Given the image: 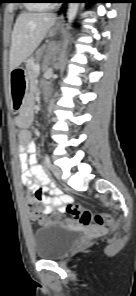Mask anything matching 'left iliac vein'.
Listing matches in <instances>:
<instances>
[{"instance_id":"obj_1","label":"left iliac vein","mask_w":136,"mask_h":296,"mask_svg":"<svg viewBox=\"0 0 136 296\" xmlns=\"http://www.w3.org/2000/svg\"><path fill=\"white\" fill-rule=\"evenodd\" d=\"M51 172L55 178L61 179L62 173H61V170L57 166H54V165L51 166Z\"/></svg>"}]
</instances>
